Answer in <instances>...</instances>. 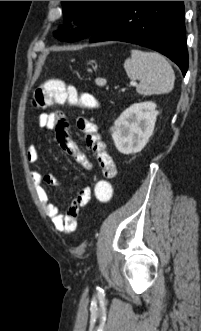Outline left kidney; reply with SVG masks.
I'll return each mask as SVG.
<instances>
[{"instance_id": "obj_1", "label": "left kidney", "mask_w": 201, "mask_h": 331, "mask_svg": "<svg viewBox=\"0 0 201 331\" xmlns=\"http://www.w3.org/2000/svg\"><path fill=\"white\" fill-rule=\"evenodd\" d=\"M158 111L153 102L131 105L115 121L112 138L123 154L140 152L153 133Z\"/></svg>"}]
</instances>
